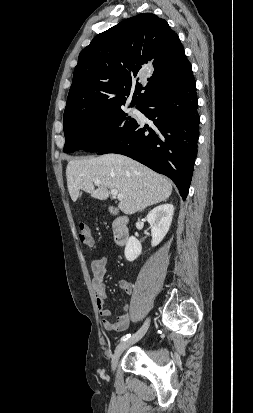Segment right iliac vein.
Returning <instances> with one entry per match:
<instances>
[{
  "instance_id": "obj_1",
  "label": "right iliac vein",
  "mask_w": 253,
  "mask_h": 413,
  "mask_svg": "<svg viewBox=\"0 0 253 413\" xmlns=\"http://www.w3.org/2000/svg\"><path fill=\"white\" fill-rule=\"evenodd\" d=\"M149 325H150V319L148 318L143 324V326L136 332L134 336H132L131 338L117 345L114 351V354L112 356V359H111V367L113 370L117 366L120 355L124 352V350H126L129 346L139 341L145 335V333L147 332L149 328Z\"/></svg>"
}]
</instances>
